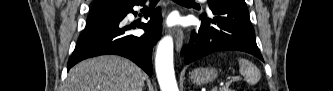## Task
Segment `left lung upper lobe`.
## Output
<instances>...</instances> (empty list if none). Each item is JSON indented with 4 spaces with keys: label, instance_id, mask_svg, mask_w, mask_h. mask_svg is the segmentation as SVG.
<instances>
[{
    "label": "left lung upper lobe",
    "instance_id": "5c2ea615",
    "mask_svg": "<svg viewBox=\"0 0 333 91\" xmlns=\"http://www.w3.org/2000/svg\"><path fill=\"white\" fill-rule=\"evenodd\" d=\"M215 1H217V0H208V3L210 4V3L215 2Z\"/></svg>",
    "mask_w": 333,
    "mask_h": 91
}]
</instances>
